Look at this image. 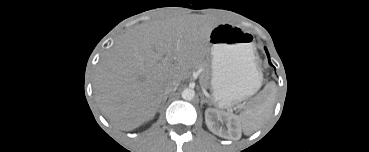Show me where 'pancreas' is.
<instances>
[{"label": "pancreas", "instance_id": "1", "mask_svg": "<svg viewBox=\"0 0 369 152\" xmlns=\"http://www.w3.org/2000/svg\"><path fill=\"white\" fill-rule=\"evenodd\" d=\"M203 84H206V79H203Z\"/></svg>", "mask_w": 369, "mask_h": 152}]
</instances>
